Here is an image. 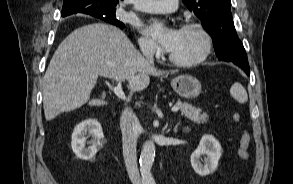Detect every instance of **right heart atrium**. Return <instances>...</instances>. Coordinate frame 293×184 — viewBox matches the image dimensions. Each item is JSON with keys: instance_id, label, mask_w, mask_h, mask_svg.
Instances as JSON below:
<instances>
[{"instance_id": "d8ad5b80", "label": "right heart atrium", "mask_w": 293, "mask_h": 184, "mask_svg": "<svg viewBox=\"0 0 293 184\" xmlns=\"http://www.w3.org/2000/svg\"><path fill=\"white\" fill-rule=\"evenodd\" d=\"M139 46L141 51L149 56L157 55L160 51L158 45L146 35L139 38Z\"/></svg>"}]
</instances>
